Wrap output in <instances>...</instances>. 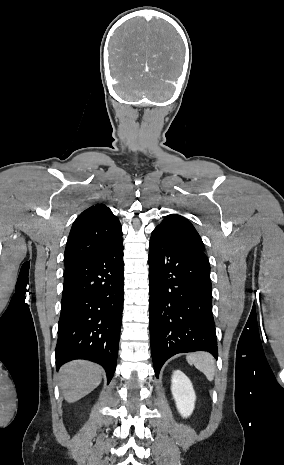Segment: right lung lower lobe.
<instances>
[{
	"label": "right lung lower lobe",
	"instance_id": "98d812e1",
	"mask_svg": "<svg viewBox=\"0 0 284 465\" xmlns=\"http://www.w3.org/2000/svg\"><path fill=\"white\" fill-rule=\"evenodd\" d=\"M123 239L102 254L65 269L58 340L57 370L74 359L103 366L114 375L123 311Z\"/></svg>",
	"mask_w": 284,
	"mask_h": 465
}]
</instances>
